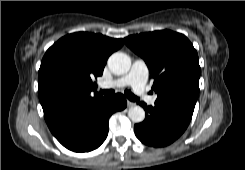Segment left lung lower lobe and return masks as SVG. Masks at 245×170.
I'll return each instance as SVG.
<instances>
[{
    "mask_svg": "<svg viewBox=\"0 0 245 170\" xmlns=\"http://www.w3.org/2000/svg\"><path fill=\"white\" fill-rule=\"evenodd\" d=\"M139 104L145 109L146 117L135 125V134L141 142L153 147H164L174 142L186 130L193 115V111L175 105Z\"/></svg>",
    "mask_w": 245,
    "mask_h": 170,
    "instance_id": "left-lung-lower-lobe-1",
    "label": "left lung lower lobe"
}]
</instances>
